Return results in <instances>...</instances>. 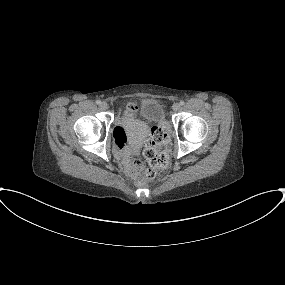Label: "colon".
I'll use <instances>...</instances> for the list:
<instances>
[{"label": "colon", "mask_w": 285, "mask_h": 285, "mask_svg": "<svg viewBox=\"0 0 285 285\" xmlns=\"http://www.w3.org/2000/svg\"><path fill=\"white\" fill-rule=\"evenodd\" d=\"M128 114H133L136 111L134 104H129L126 107ZM169 137L165 132L163 126L154 127L151 130L150 137L145 143V149L143 152L144 157L148 161L150 168H145L141 161L133 163L132 169L135 171V182L137 185H143L147 181L154 178L156 170L165 169L168 165L169 157L165 152L159 151V146L167 144ZM120 143L125 144V138L120 137Z\"/></svg>", "instance_id": "5ec220e1"}]
</instances>
